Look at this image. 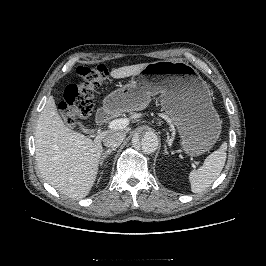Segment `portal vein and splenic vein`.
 Wrapping results in <instances>:
<instances>
[{"label": "portal vein and splenic vein", "instance_id": "obj_1", "mask_svg": "<svg viewBox=\"0 0 266 266\" xmlns=\"http://www.w3.org/2000/svg\"><path fill=\"white\" fill-rule=\"evenodd\" d=\"M129 120L127 118L115 119L109 122L108 128L111 130L124 129L128 126Z\"/></svg>", "mask_w": 266, "mask_h": 266}]
</instances>
